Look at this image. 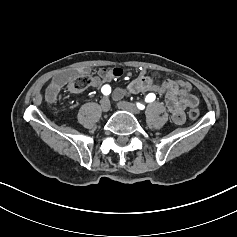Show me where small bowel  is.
I'll use <instances>...</instances> for the list:
<instances>
[{
    "label": "small bowel",
    "instance_id": "c3829d8e",
    "mask_svg": "<svg viewBox=\"0 0 237 237\" xmlns=\"http://www.w3.org/2000/svg\"><path fill=\"white\" fill-rule=\"evenodd\" d=\"M89 73V68L79 67L64 70L58 73L52 80L47 90V100L55 102L60 90L76 75ZM123 75L120 67H107L101 69L99 73L91 78L90 86L93 88L103 87L108 82ZM127 92H156L164 96L165 104L171 114L174 123L180 125L185 121V111L198 105V99L191 94L192 84L188 81L166 79L160 80L155 74H147L142 70L138 77L132 80L127 88ZM125 91L118 89L114 95L116 98L124 96Z\"/></svg>",
    "mask_w": 237,
    "mask_h": 237
}]
</instances>
